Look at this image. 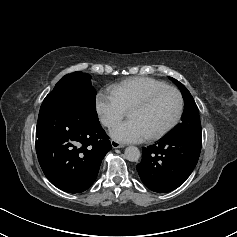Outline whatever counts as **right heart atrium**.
<instances>
[{
  "label": "right heart atrium",
  "instance_id": "1",
  "mask_svg": "<svg viewBox=\"0 0 237 237\" xmlns=\"http://www.w3.org/2000/svg\"><path fill=\"white\" fill-rule=\"evenodd\" d=\"M96 111L102 124L107 128L116 125L126 113L118 95L111 88L97 94Z\"/></svg>",
  "mask_w": 237,
  "mask_h": 237
}]
</instances>
